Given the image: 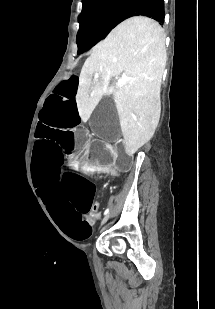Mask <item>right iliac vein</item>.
Segmentation results:
<instances>
[{
  "mask_svg": "<svg viewBox=\"0 0 215 309\" xmlns=\"http://www.w3.org/2000/svg\"><path fill=\"white\" fill-rule=\"evenodd\" d=\"M111 213H108L102 220V224L106 223L108 221V219L110 218Z\"/></svg>",
  "mask_w": 215,
  "mask_h": 309,
  "instance_id": "obj_1",
  "label": "right iliac vein"
}]
</instances>
